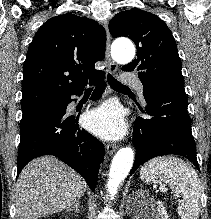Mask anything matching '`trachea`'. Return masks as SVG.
I'll return each instance as SVG.
<instances>
[{"label": "trachea", "instance_id": "obj_1", "mask_svg": "<svg viewBox=\"0 0 211 219\" xmlns=\"http://www.w3.org/2000/svg\"><path fill=\"white\" fill-rule=\"evenodd\" d=\"M107 81L110 85V87L114 90H126L129 89L128 86H125L121 84L119 81H117L111 74L107 75ZM92 88L87 89V92H91Z\"/></svg>", "mask_w": 211, "mask_h": 219}]
</instances>
